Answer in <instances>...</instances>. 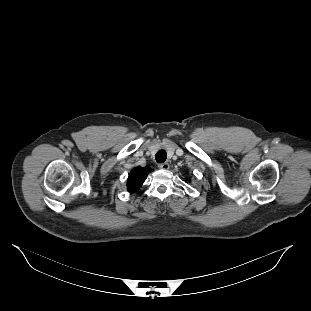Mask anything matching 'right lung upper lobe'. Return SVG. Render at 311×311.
<instances>
[{
    "label": "right lung upper lobe",
    "mask_w": 311,
    "mask_h": 311,
    "mask_svg": "<svg viewBox=\"0 0 311 311\" xmlns=\"http://www.w3.org/2000/svg\"><path fill=\"white\" fill-rule=\"evenodd\" d=\"M152 172L150 167H136L134 168L128 178L127 187L130 192L138 191L145 181L147 175Z\"/></svg>",
    "instance_id": "cb5924a9"
}]
</instances>
